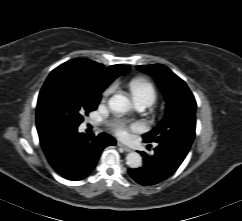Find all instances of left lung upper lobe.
Returning a JSON list of instances; mask_svg holds the SVG:
<instances>
[{
    "label": "left lung upper lobe",
    "instance_id": "5c2ea615",
    "mask_svg": "<svg viewBox=\"0 0 242 221\" xmlns=\"http://www.w3.org/2000/svg\"><path fill=\"white\" fill-rule=\"evenodd\" d=\"M137 68L155 78L167 103L164 118L143 135L144 142H174L190 148L195 137L196 101L186 83L162 64Z\"/></svg>",
    "mask_w": 242,
    "mask_h": 221
}]
</instances>
